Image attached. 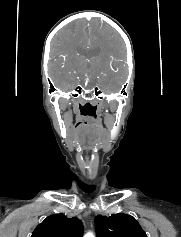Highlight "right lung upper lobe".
I'll use <instances>...</instances> for the list:
<instances>
[{"mask_svg": "<svg viewBox=\"0 0 181 237\" xmlns=\"http://www.w3.org/2000/svg\"><path fill=\"white\" fill-rule=\"evenodd\" d=\"M83 225L77 217L54 214L40 223L31 237H82Z\"/></svg>", "mask_w": 181, "mask_h": 237, "instance_id": "right-lung-upper-lobe-1", "label": "right lung upper lobe"}]
</instances>
